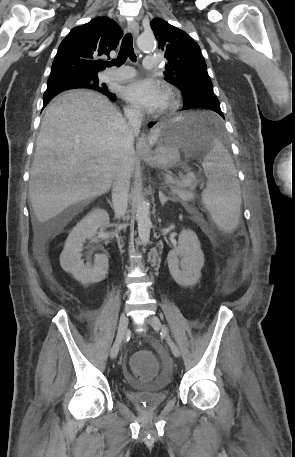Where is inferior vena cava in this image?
I'll list each match as a JSON object with an SVG mask.
<instances>
[{
    "label": "inferior vena cava",
    "instance_id": "1",
    "mask_svg": "<svg viewBox=\"0 0 295 457\" xmlns=\"http://www.w3.org/2000/svg\"><path fill=\"white\" fill-rule=\"evenodd\" d=\"M130 127L139 131L142 123V114L139 109H128L125 111ZM130 186V173L127 167L119 169L113 179L112 201L115 217L120 219L126 213L128 206V194Z\"/></svg>",
    "mask_w": 295,
    "mask_h": 457
}]
</instances>
